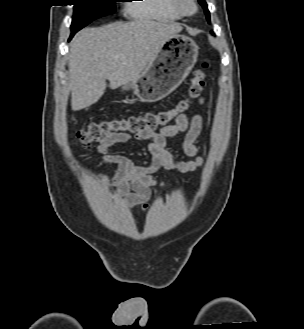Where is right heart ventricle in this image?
Listing matches in <instances>:
<instances>
[{
    "mask_svg": "<svg viewBox=\"0 0 304 329\" xmlns=\"http://www.w3.org/2000/svg\"><path fill=\"white\" fill-rule=\"evenodd\" d=\"M139 4L130 3L127 6L135 18L161 21H178L182 16L174 9L171 0H134Z\"/></svg>",
    "mask_w": 304,
    "mask_h": 329,
    "instance_id": "right-heart-ventricle-1",
    "label": "right heart ventricle"
}]
</instances>
